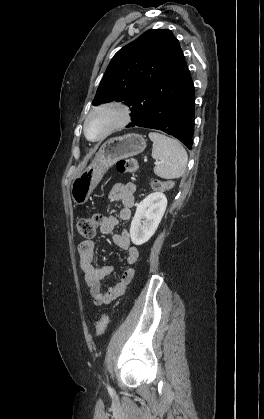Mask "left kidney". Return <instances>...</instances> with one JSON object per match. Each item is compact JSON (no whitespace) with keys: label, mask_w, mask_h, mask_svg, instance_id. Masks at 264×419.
<instances>
[{"label":"left kidney","mask_w":264,"mask_h":419,"mask_svg":"<svg viewBox=\"0 0 264 419\" xmlns=\"http://www.w3.org/2000/svg\"><path fill=\"white\" fill-rule=\"evenodd\" d=\"M166 207L167 198L161 192L149 194L138 204L130 227V237L135 245H142L152 237Z\"/></svg>","instance_id":"1"}]
</instances>
